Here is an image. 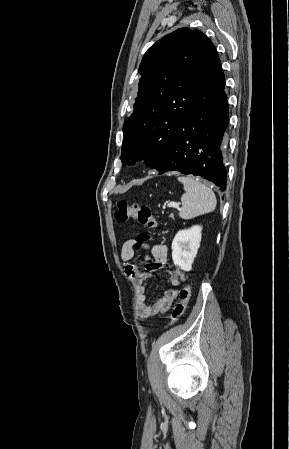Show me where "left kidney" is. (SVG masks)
<instances>
[{"label": "left kidney", "mask_w": 289, "mask_h": 449, "mask_svg": "<svg viewBox=\"0 0 289 449\" xmlns=\"http://www.w3.org/2000/svg\"><path fill=\"white\" fill-rule=\"evenodd\" d=\"M202 227L192 226L180 230L172 242L173 263L184 271H190L201 242Z\"/></svg>", "instance_id": "1"}]
</instances>
